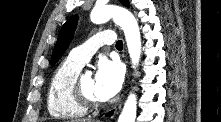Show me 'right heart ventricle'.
<instances>
[{
  "label": "right heart ventricle",
  "mask_w": 221,
  "mask_h": 122,
  "mask_svg": "<svg viewBox=\"0 0 221 122\" xmlns=\"http://www.w3.org/2000/svg\"><path fill=\"white\" fill-rule=\"evenodd\" d=\"M81 66L70 58L54 71L47 91V108L51 116L59 119L83 117L87 110L75 100L72 85Z\"/></svg>",
  "instance_id": "right-heart-ventricle-1"
}]
</instances>
